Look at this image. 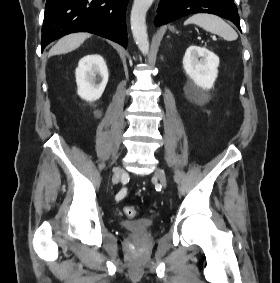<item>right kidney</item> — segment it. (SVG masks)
I'll return each instance as SVG.
<instances>
[{"instance_id": "obj_1", "label": "right kidney", "mask_w": 280, "mask_h": 283, "mask_svg": "<svg viewBox=\"0 0 280 283\" xmlns=\"http://www.w3.org/2000/svg\"><path fill=\"white\" fill-rule=\"evenodd\" d=\"M78 95L86 101H96L103 94L108 83L109 73L100 55L83 57L75 72Z\"/></svg>"}]
</instances>
